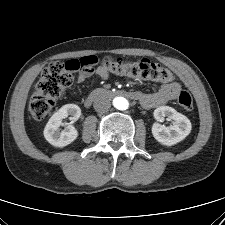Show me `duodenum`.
Segmentation results:
<instances>
[{
	"label": "duodenum",
	"instance_id": "obj_1",
	"mask_svg": "<svg viewBox=\"0 0 225 225\" xmlns=\"http://www.w3.org/2000/svg\"><path fill=\"white\" fill-rule=\"evenodd\" d=\"M124 96L128 98L138 99L139 93L137 92H130L126 90H119V91H113V90H107V89H97L93 91L84 101L85 107H90L93 101L100 99L101 97L107 96Z\"/></svg>",
	"mask_w": 225,
	"mask_h": 225
}]
</instances>
